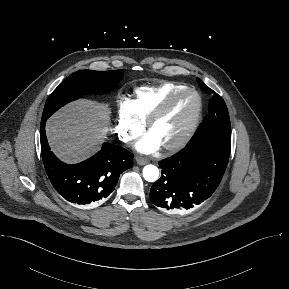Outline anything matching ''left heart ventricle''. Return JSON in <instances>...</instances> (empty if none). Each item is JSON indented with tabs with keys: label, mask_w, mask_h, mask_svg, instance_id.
Masks as SVG:
<instances>
[{
	"label": "left heart ventricle",
	"mask_w": 289,
	"mask_h": 289,
	"mask_svg": "<svg viewBox=\"0 0 289 289\" xmlns=\"http://www.w3.org/2000/svg\"><path fill=\"white\" fill-rule=\"evenodd\" d=\"M196 98L184 94L177 98L168 111L152 126L150 134L165 145L177 140L187 128L196 109Z\"/></svg>",
	"instance_id": "obj_1"
}]
</instances>
